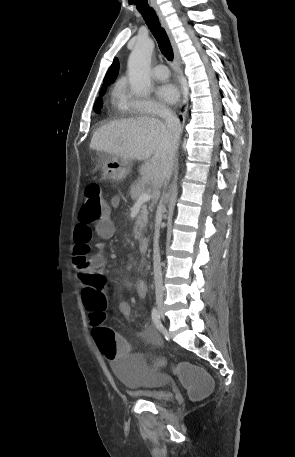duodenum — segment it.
<instances>
[{
    "instance_id": "410a0bca",
    "label": "duodenum",
    "mask_w": 295,
    "mask_h": 457,
    "mask_svg": "<svg viewBox=\"0 0 295 457\" xmlns=\"http://www.w3.org/2000/svg\"><path fill=\"white\" fill-rule=\"evenodd\" d=\"M149 247V239L143 237L139 240V248L142 253H146Z\"/></svg>"
}]
</instances>
